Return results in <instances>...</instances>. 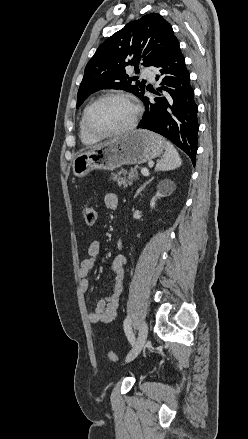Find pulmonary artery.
Listing matches in <instances>:
<instances>
[{
	"instance_id": "pulmonary-artery-1",
	"label": "pulmonary artery",
	"mask_w": 248,
	"mask_h": 439,
	"mask_svg": "<svg viewBox=\"0 0 248 439\" xmlns=\"http://www.w3.org/2000/svg\"><path fill=\"white\" fill-rule=\"evenodd\" d=\"M142 76L145 78H148L149 80L153 81L154 80V74L153 72L147 70V69H143L142 70Z\"/></svg>"
}]
</instances>
